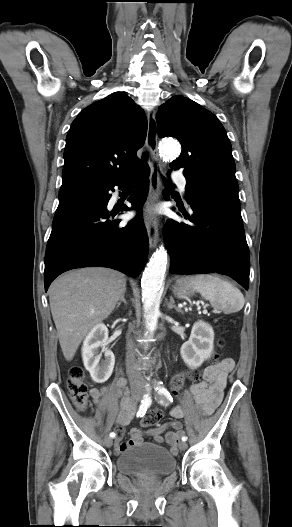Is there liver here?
I'll use <instances>...</instances> for the list:
<instances>
[{"instance_id":"obj_1","label":"liver","mask_w":292,"mask_h":527,"mask_svg":"<svg viewBox=\"0 0 292 527\" xmlns=\"http://www.w3.org/2000/svg\"><path fill=\"white\" fill-rule=\"evenodd\" d=\"M125 291V276L107 268L70 271L51 284V313L67 361L73 359L86 334L112 313Z\"/></svg>"}]
</instances>
